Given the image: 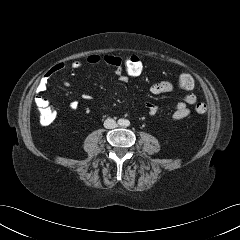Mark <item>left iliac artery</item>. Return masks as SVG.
<instances>
[{
	"label": "left iliac artery",
	"instance_id": "1",
	"mask_svg": "<svg viewBox=\"0 0 240 240\" xmlns=\"http://www.w3.org/2000/svg\"><path fill=\"white\" fill-rule=\"evenodd\" d=\"M125 125L126 126H129L130 125V122L127 120V121H125Z\"/></svg>",
	"mask_w": 240,
	"mask_h": 240
}]
</instances>
